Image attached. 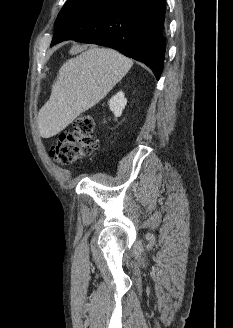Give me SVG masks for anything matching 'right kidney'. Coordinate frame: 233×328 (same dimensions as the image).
<instances>
[{"label":"right kidney","instance_id":"right-kidney-1","mask_svg":"<svg viewBox=\"0 0 233 328\" xmlns=\"http://www.w3.org/2000/svg\"><path fill=\"white\" fill-rule=\"evenodd\" d=\"M126 104L127 99L124 97V93L122 91L114 95L109 101L110 110L114 113L116 118L121 116Z\"/></svg>","mask_w":233,"mask_h":328}]
</instances>
